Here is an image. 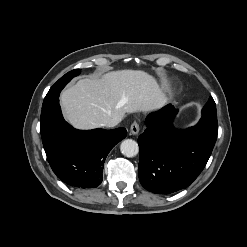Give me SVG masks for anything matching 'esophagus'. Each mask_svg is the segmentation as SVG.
Masks as SVG:
<instances>
[{
	"label": "esophagus",
	"mask_w": 247,
	"mask_h": 247,
	"mask_svg": "<svg viewBox=\"0 0 247 247\" xmlns=\"http://www.w3.org/2000/svg\"><path fill=\"white\" fill-rule=\"evenodd\" d=\"M140 131V126H139V123L137 121H134L132 124H131V127H130V133L132 135H137Z\"/></svg>",
	"instance_id": "34e87169"
}]
</instances>
